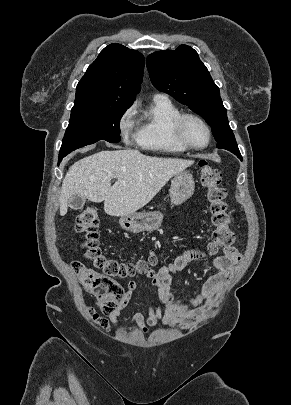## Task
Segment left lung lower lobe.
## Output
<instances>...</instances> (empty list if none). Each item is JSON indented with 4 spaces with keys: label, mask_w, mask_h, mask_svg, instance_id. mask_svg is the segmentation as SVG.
Listing matches in <instances>:
<instances>
[{
    "label": "left lung lower lobe",
    "mask_w": 291,
    "mask_h": 405,
    "mask_svg": "<svg viewBox=\"0 0 291 405\" xmlns=\"http://www.w3.org/2000/svg\"><path fill=\"white\" fill-rule=\"evenodd\" d=\"M236 155L238 156V158H240L242 160V157H241L240 153H237Z\"/></svg>",
    "instance_id": "obj_1"
}]
</instances>
